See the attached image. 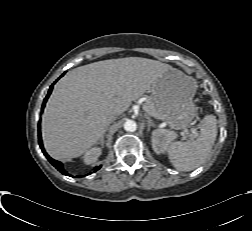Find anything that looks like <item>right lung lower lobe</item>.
Returning a JSON list of instances; mask_svg holds the SVG:
<instances>
[{"mask_svg": "<svg viewBox=\"0 0 252 231\" xmlns=\"http://www.w3.org/2000/svg\"><path fill=\"white\" fill-rule=\"evenodd\" d=\"M63 76V75H62ZM55 84V82L50 86V89L48 91V94L47 96L45 97L44 101H43V105H42V108L41 110L43 111L44 110V107H45V104H46V101L48 99V97L50 96L51 92H52V88H53V85ZM39 145L41 147V150L42 152L44 153V155L47 157V159L49 160V162L58 170L60 171L62 174L64 175H68V176H71L70 174H68L64 168H63V164L57 160H54L52 159L45 151L44 147H43V144H42V138L41 136L39 135ZM101 166H97L95 167V171L99 170Z\"/></svg>", "mask_w": 252, "mask_h": 231, "instance_id": "1", "label": "right lung lower lobe"}]
</instances>
